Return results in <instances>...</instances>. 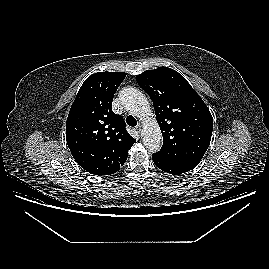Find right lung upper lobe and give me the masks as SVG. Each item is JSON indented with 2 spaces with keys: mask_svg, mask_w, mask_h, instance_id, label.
Here are the masks:
<instances>
[{
  "mask_svg": "<svg viewBox=\"0 0 269 269\" xmlns=\"http://www.w3.org/2000/svg\"><path fill=\"white\" fill-rule=\"evenodd\" d=\"M126 73L98 72L89 76L71 106L66 141L75 161L87 172L109 175L125 163L136 142L121 115L113 113L114 94Z\"/></svg>",
  "mask_w": 269,
  "mask_h": 269,
  "instance_id": "1",
  "label": "right lung upper lobe"
}]
</instances>
